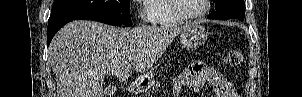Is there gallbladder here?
I'll use <instances>...</instances> for the list:
<instances>
[{
	"mask_svg": "<svg viewBox=\"0 0 302 97\" xmlns=\"http://www.w3.org/2000/svg\"><path fill=\"white\" fill-rule=\"evenodd\" d=\"M116 91V87L109 85L106 89H105V94L108 95H112L114 92Z\"/></svg>",
	"mask_w": 302,
	"mask_h": 97,
	"instance_id": "gallbladder-1",
	"label": "gallbladder"
}]
</instances>
